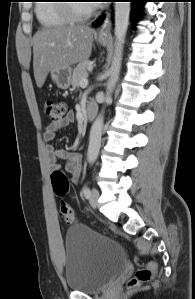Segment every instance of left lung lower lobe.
Segmentation results:
<instances>
[{"label": "left lung lower lobe", "mask_w": 195, "mask_h": 299, "mask_svg": "<svg viewBox=\"0 0 195 299\" xmlns=\"http://www.w3.org/2000/svg\"><path fill=\"white\" fill-rule=\"evenodd\" d=\"M132 2V10H133V17H135V22L139 20L138 15L140 14V7L143 5L146 0H129ZM104 19V15L99 17L97 20L94 21L93 27H99L102 24Z\"/></svg>", "instance_id": "0a47b994"}]
</instances>
